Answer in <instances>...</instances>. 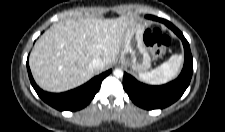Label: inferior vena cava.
<instances>
[{
  "label": "inferior vena cava",
  "mask_w": 225,
  "mask_h": 132,
  "mask_svg": "<svg viewBox=\"0 0 225 132\" xmlns=\"http://www.w3.org/2000/svg\"><path fill=\"white\" fill-rule=\"evenodd\" d=\"M104 66H105V63L102 59L100 58H95L93 59L90 64H89V68L92 70V71H95V72H102L103 69H104Z\"/></svg>",
  "instance_id": "1"
}]
</instances>
